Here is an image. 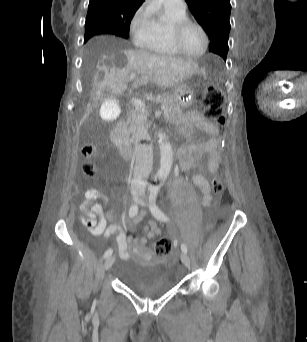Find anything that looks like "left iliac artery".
<instances>
[{"label":"left iliac artery","mask_w":307,"mask_h":342,"mask_svg":"<svg viewBox=\"0 0 307 342\" xmlns=\"http://www.w3.org/2000/svg\"><path fill=\"white\" fill-rule=\"evenodd\" d=\"M159 190V186H152L149 188V208L155 218L161 221H168V217L156 206V199ZM181 250L184 253H187L188 251L187 246L184 243L181 244Z\"/></svg>","instance_id":"44dca946"}]
</instances>
